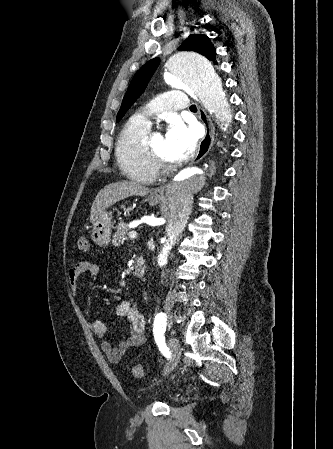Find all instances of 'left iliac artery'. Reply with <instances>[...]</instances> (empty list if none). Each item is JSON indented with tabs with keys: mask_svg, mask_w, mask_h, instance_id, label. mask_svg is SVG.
Returning a JSON list of instances; mask_svg holds the SVG:
<instances>
[{
	"mask_svg": "<svg viewBox=\"0 0 333 449\" xmlns=\"http://www.w3.org/2000/svg\"><path fill=\"white\" fill-rule=\"evenodd\" d=\"M153 334L155 342L161 351V353L166 357L170 358L171 353L169 348L166 346L164 333L166 331V314L163 312L158 313L154 319Z\"/></svg>",
	"mask_w": 333,
	"mask_h": 449,
	"instance_id": "left-iliac-artery-1",
	"label": "left iliac artery"
}]
</instances>
